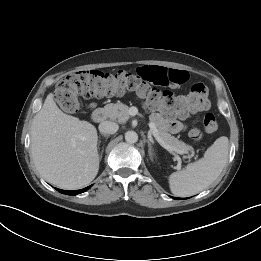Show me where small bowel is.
I'll return each instance as SVG.
<instances>
[{"mask_svg":"<svg viewBox=\"0 0 261 261\" xmlns=\"http://www.w3.org/2000/svg\"><path fill=\"white\" fill-rule=\"evenodd\" d=\"M139 74L146 81L161 86H179L184 84L189 78L188 72L186 71L156 65L141 67ZM151 118L158 126L171 133H179L185 128L181 121L164 118L159 113H153Z\"/></svg>","mask_w":261,"mask_h":261,"instance_id":"1","label":"small bowel"}]
</instances>
